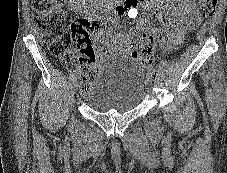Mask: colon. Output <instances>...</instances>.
<instances>
[{
    "label": "colon",
    "instance_id": "colon-1",
    "mask_svg": "<svg viewBox=\"0 0 227 173\" xmlns=\"http://www.w3.org/2000/svg\"><path fill=\"white\" fill-rule=\"evenodd\" d=\"M62 0H32L35 22L41 35L48 42L50 52L62 62L69 63L75 57L86 65L82 69V88L87 89L95 76L91 61L96 57L92 38L105 36L110 27L100 20L72 18L61 8ZM217 0H199L198 11L204 17L213 14ZM140 46V40L134 42ZM132 56L146 66L154 61L153 48L146 43Z\"/></svg>",
    "mask_w": 227,
    "mask_h": 173
}]
</instances>
